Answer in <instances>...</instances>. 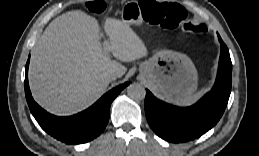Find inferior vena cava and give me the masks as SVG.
<instances>
[{
	"label": "inferior vena cava",
	"instance_id": "1",
	"mask_svg": "<svg viewBox=\"0 0 259 156\" xmlns=\"http://www.w3.org/2000/svg\"><path fill=\"white\" fill-rule=\"evenodd\" d=\"M108 77L110 81H113V80H116L118 77H120V74L117 72H113V73H110Z\"/></svg>",
	"mask_w": 259,
	"mask_h": 156
}]
</instances>
